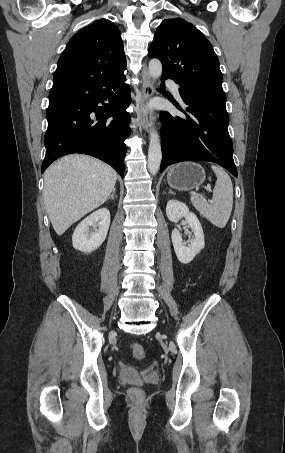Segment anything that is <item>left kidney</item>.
<instances>
[{
    "label": "left kidney",
    "mask_w": 285,
    "mask_h": 453,
    "mask_svg": "<svg viewBox=\"0 0 285 453\" xmlns=\"http://www.w3.org/2000/svg\"><path fill=\"white\" fill-rule=\"evenodd\" d=\"M166 215L172 222H176L184 217L194 233V238L188 245L183 242L178 229L175 228L171 234L173 247L178 260L183 264H188L204 248L205 245L201 223L197 216L193 212L189 211L186 204L177 200L168 201L166 206Z\"/></svg>",
    "instance_id": "1"
}]
</instances>
